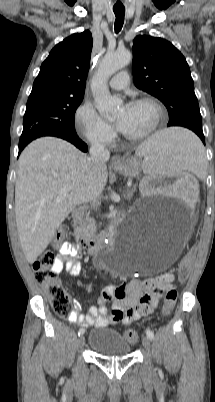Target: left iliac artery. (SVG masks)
I'll return each instance as SVG.
<instances>
[{
  "mask_svg": "<svg viewBox=\"0 0 215 402\" xmlns=\"http://www.w3.org/2000/svg\"><path fill=\"white\" fill-rule=\"evenodd\" d=\"M146 335L149 337L150 340L154 339V333L151 329L147 328L146 329Z\"/></svg>",
  "mask_w": 215,
  "mask_h": 402,
  "instance_id": "left-iliac-artery-1",
  "label": "left iliac artery"
}]
</instances>
